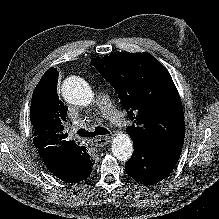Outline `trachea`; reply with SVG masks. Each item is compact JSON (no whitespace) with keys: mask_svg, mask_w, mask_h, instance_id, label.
Wrapping results in <instances>:
<instances>
[{"mask_svg":"<svg viewBox=\"0 0 219 219\" xmlns=\"http://www.w3.org/2000/svg\"><path fill=\"white\" fill-rule=\"evenodd\" d=\"M106 134H109V131L106 128L100 126L95 127L94 132H89L86 131L85 129H80L78 131V135L80 137H87V138L95 137L97 135H106Z\"/></svg>","mask_w":219,"mask_h":219,"instance_id":"obj_1","label":"trachea"}]
</instances>
